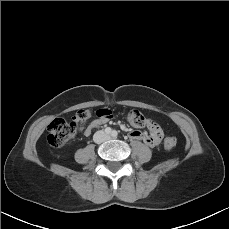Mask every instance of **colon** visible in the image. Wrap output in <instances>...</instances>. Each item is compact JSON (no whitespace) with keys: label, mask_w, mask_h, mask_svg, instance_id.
<instances>
[{"label":"colon","mask_w":229,"mask_h":229,"mask_svg":"<svg viewBox=\"0 0 229 229\" xmlns=\"http://www.w3.org/2000/svg\"><path fill=\"white\" fill-rule=\"evenodd\" d=\"M99 115L110 116V111L107 109H99L96 111ZM92 115V111L82 109L76 112L73 120L67 122L63 119L53 120L47 128V142L50 146H63L77 131L82 128ZM129 122L136 127H144L148 123V119L138 110L131 109L127 113ZM163 145L167 150H173L177 146V139L174 136H169L164 139Z\"/></svg>","instance_id":"colon-1"}]
</instances>
